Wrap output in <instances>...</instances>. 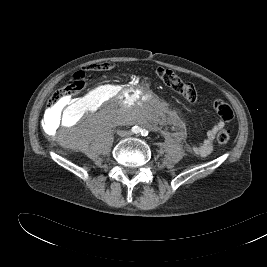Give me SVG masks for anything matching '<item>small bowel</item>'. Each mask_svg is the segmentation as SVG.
Here are the masks:
<instances>
[{
  "label": "small bowel",
  "mask_w": 267,
  "mask_h": 267,
  "mask_svg": "<svg viewBox=\"0 0 267 267\" xmlns=\"http://www.w3.org/2000/svg\"><path fill=\"white\" fill-rule=\"evenodd\" d=\"M91 68L94 69V65ZM75 107V104H71L69 106H57L55 108H52L49 113L51 117H58L60 115H63L66 111H74ZM223 126L224 122L222 120L217 121L215 125L207 132V136L204 141L198 145H194L191 147L192 151L199 156L209 155L213 149V141L215 135Z\"/></svg>",
  "instance_id": "small-bowel-1"
}]
</instances>
